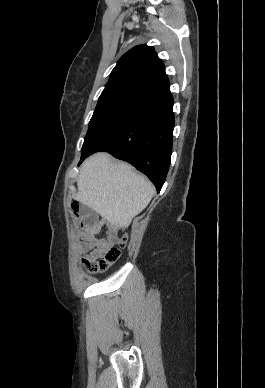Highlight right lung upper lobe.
Returning <instances> with one entry per match:
<instances>
[{
  "label": "right lung upper lobe",
  "mask_w": 265,
  "mask_h": 388,
  "mask_svg": "<svg viewBox=\"0 0 265 388\" xmlns=\"http://www.w3.org/2000/svg\"><path fill=\"white\" fill-rule=\"evenodd\" d=\"M169 87L164 65L154 49L139 45L121 57L102 93H127L150 100Z\"/></svg>",
  "instance_id": "1"
}]
</instances>
